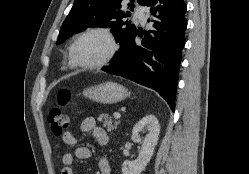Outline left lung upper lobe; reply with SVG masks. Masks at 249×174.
<instances>
[{
  "mask_svg": "<svg viewBox=\"0 0 249 174\" xmlns=\"http://www.w3.org/2000/svg\"><path fill=\"white\" fill-rule=\"evenodd\" d=\"M131 2V10L134 8ZM149 0H137L140 5L146 6ZM122 0H75L71 11L63 22L56 44H60L71 33H78L88 27H110L115 33V39L121 48L113 61L118 57L121 49L137 32L135 25L123 22L122 18L130 16L129 11L121 10Z\"/></svg>",
  "mask_w": 249,
  "mask_h": 174,
  "instance_id": "5c2ea615",
  "label": "left lung upper lobe"
}]
</instances>
